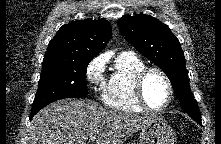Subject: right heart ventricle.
I'll return each instance as SVG.
<instances>
[{"label":"right heart ventricle","mask_w":221,"mask_h":144,"mask_svg":"<svg viewBox=\"0 0 221 144\" xmlns=\"http://www.w3.org/2000/svg\"><path fill=\"white\" fill-rule=\"evenodd\" d=\"M144 67V62L132 53L123 52L117 56L103 94L109 108L129 113L144 111L135 99L133 88L135 75Z\"/></svg>","instance_id":"e07e8e85"}]
</instances>
